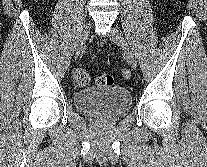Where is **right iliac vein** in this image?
<instances>
[{
	"label": "right iliac vein",
	"mask_w": 207,
	"mask_h": 167,
	"mask_svg": "<svg viewBox=\"0 0 207 167\" xmlns=\"http://www.w3.org/2000/svg\"><path fill=\"white\" fill-rule=\"evenodd\" d=\"M90 29H91V24L86 23V25L84 26L82 35H81L79 45H78L77 50H76L75 58H78L79 55L84 51V49L86 47V41H87L89 33H90Z\"/></svg>",
	"instance_id": "obj_1"
}]
</instances>
